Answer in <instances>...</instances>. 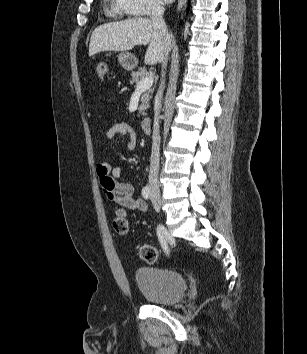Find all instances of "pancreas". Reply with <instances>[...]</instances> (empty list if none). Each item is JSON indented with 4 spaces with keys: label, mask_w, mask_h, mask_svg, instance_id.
Listing matches in <instances>:
<instances>
[{
    "label": "pancreas",
    "mask_w": 307,
    "mask_h": 354,
    "mask_svg": "<svg viewBox=\"0 0 307 354\" xmlns=\"http://www.w3.org/2000/svg\"><path fill=\"white\" fill-rule=\"evenodd\" d=\"M131 76H132V78L130 80V83L131 84L135 83L137 85V83L140 80H142L143 78L149 77V73H148V71H147V69L145 67H141V68L138 69L137 72H133ZM151 92H152L151 90H147V91H145L143 93V95L141 97V105H140V107L138 109L139 115H143V116L146 115L145 110L147 108H149V101H150V98H151V96H150Z\"/></svg>",
    "instance_id": "cf45deb5"
}]
</instances>
